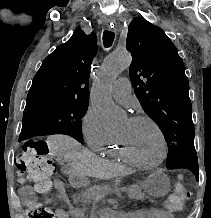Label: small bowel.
Returning a JSON list of instances; mask_svg holds the SVG:
<instances>
[{
    "label": "small bowel",
    "mask_w": 211,
    "mask_h": 218,
    "mask_svg": "<svg viewBox=\"0 0 211 218\" xmlns=\"http://www.w3.org/2000/svg\"><path fill=\"white\" fill-rule=\"evenodd\" d=\"M53 189L55 191L56 196L64 202H67V195L64 183L56 179L53 182ZM20 196L27 202L30 203L35 199L34 190L29 186H24L19 191ZM81 215L79 210H66L63 208H59L56 210L57 218H79ZM138 218H174L173 214L164 209H148V210H139Z\"/></svg>",
    "instance_id": "1"
}]
</instances>
